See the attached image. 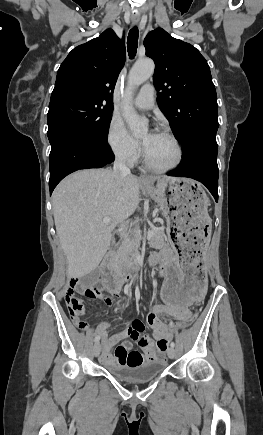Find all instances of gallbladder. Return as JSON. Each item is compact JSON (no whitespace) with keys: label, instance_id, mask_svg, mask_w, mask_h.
Wrapping results in <instances>:
<instances>
[{"label":"gallbladder","instance_id":"bac80fb5","mask_svg":"<svg viewBox=\"0 0 263 435\" xmlns=\"http://www.w3.org/2000/svg\"><path fill=\"white\" fill-rule=\"evenodd\" d=\"M99 275H100V269L96 268L89 274L85 275L82 278V282L86 286H91L97 282V280L99 279Z\"/></svg>","mask_w":263,"mask_h":435}]
</instances>
